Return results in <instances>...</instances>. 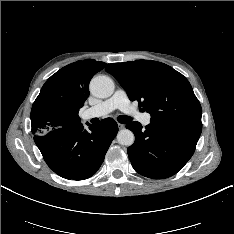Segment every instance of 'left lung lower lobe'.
I'll return each mask as SVG.
<instances>
[{"instance_id":"1","label":"left lung lower lobe","mask_w":234,"mask_h":234,"mask_svg":"<svg viewBox=\"0 0 234 234\" xmlns=\"http://www.w3.org/2000/svg\"><path fill=\"white\" fill-rule=\"evenodd\" d=\"M135 135L128 148L131 164L139 174L168 178L192 157L202 131L199 119L151 121L145 130L139 122L126 125Z\"/></svg>"}]
</instances>
